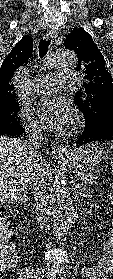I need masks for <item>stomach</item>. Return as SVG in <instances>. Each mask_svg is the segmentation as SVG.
<instances>
[{
    "label": "stomach",
    "instance_id": "stomach-1",
    "mask_svg": "<svg viewBox=\"0 0 113 279\" xmlns=\"http://www.w3.org/2000/svg\"><path fill=\"white\" fill-rule=\"evenodd\" d=\"M62 160L70 168L79 171H91L99 166L102 161L101 152L95 144H85L70 152Z\"/></svg>",
    "mask_w": 113,
    "mask_h": 279
}]
</instances>
